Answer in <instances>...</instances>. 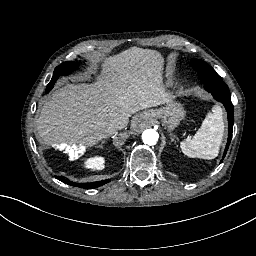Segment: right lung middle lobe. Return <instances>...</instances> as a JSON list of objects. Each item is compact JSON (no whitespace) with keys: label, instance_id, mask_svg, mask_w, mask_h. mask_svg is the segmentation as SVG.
Wrapping results in <instances>:
<instances>
[{"label":"right lung middle lobe","instance_id":"right-lung-middle-lobe-1","mask_svg":"<svg viewBox=\"0 0 256 256\" xmlns=\"http://www.w3.org/2000/svg\"><path fill=\"white\" fill-rule=\"evenodd\" d=\"M78 68V63L76 62H71L67 61L62 64H60L58 67L55 68L53 77L50 81V83L47 85L46 93H48L52 88L56 80L61 76V75H66L70 72H73Z\"/></svg>","mask_w":256,"mask_h":256}]
</instances>
